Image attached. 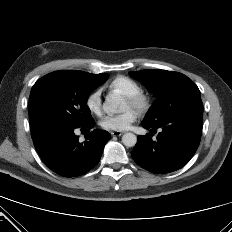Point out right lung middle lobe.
<instances>
[{
  "label": "right lung middle lobe",
  "instance_id": "1",
  "mask_svg": "<svg viewBox=\"0 0 232 232\" xmlns=\"http://www.w3.org/2000/svg\"><path fill=\"white\" fill-rule=\"evenodd\" d=\"M107 74L64 70L49 73L32 87L29 120L33 129L49 126L84 127L93 121L86 101Z\"/></svg>",
  "mask_w": 232,
  "mask_h": 232
}]
</instances>
